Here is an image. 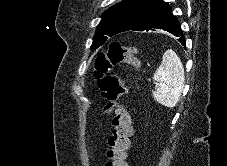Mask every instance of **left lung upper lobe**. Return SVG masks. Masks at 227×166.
<instances>
[{
  "mask_svg": "<svg viewBox=\"0 0 227 166\" xmlns=\"http://www.w3.org/2000/svg\"><path fill=\"white\" fill-rule=\"evenodd\" d=\"M147 0H123L109 8L100 21L91 49L100 47L107 39L117 33L127 31Z\"/></svg>",
  "mask_w": 227,
  "mask_h": 166,
  "instance_id": "left-lung-upper-lobe-1",
  "label": "left lung upper lobe"
}]
</instances>
